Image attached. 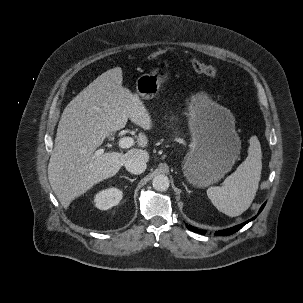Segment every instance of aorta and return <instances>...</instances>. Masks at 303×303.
I'll list each match as a JSON object with an SVG mask.
<instances>
[{
	"mask_svg": "<svg viewBox=\"0 0 303 303\" xmlns=\"http://www.w3.org/2000/svg\"><path fill=\"white\" fill-rule=\"evenodd\" d=\"M152 185L156 191L162 192L166 191L169 188L170 181L166 175L160 174L153 178Z\"/></svg>",
	"mask_w": 303,
	"mask_h": 303,
	"instance_id": "1",
	"label": "aorta"
}]
</instances>
